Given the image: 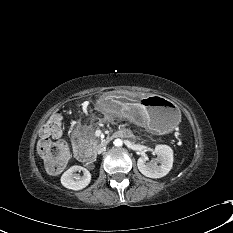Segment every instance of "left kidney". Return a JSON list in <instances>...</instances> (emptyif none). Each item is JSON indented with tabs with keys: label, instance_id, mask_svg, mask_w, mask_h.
Segmentation results:
<instances>
[{
	"label": "left kidney",
	"instance_id": "5707ae66",
	"mask_svg": "<svg viewBox=\"0 0 233 233\" xmlns=\"http://www.w3.org/2000/svg\"><path fill=\"white\" fill-rule=\"evenodd\" d=\"M154 153L157 155L155 160L146 162V156H141L137 161V166L144 176L156 179L164 177L171 170L173 166V150L167 145H157Z\"/></svg>",
	"mask_w": 233,
	"mask_h": 233
}]
</instances>
